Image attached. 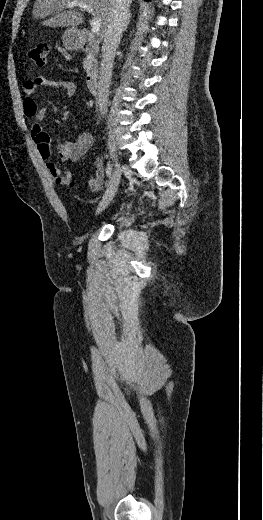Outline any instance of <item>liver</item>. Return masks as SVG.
Masks as SVG:
<instances>
[{
    "mask_svg": "<svg viewBox=\"0 0 263 520\" xmlns=\"http://www.w3.org/2000/svg\"><path fill=\"white\" fill-rule=\"evenodd\" d=\"M69 2L83 3L93 9V16L100 19V36L103 38L110 21L113 8L112 0H36L32 10L33 18L43 19L55 13L53 17L44 20L43 25L49 27H77L84 22L83 12L85 10L79 6L69 7Z\"/></svg>",
    "mask_w": 263,
    "mask_h": 520,
    "instance_id": "liver-1",
    "label": "liver"
}]
</instances>
